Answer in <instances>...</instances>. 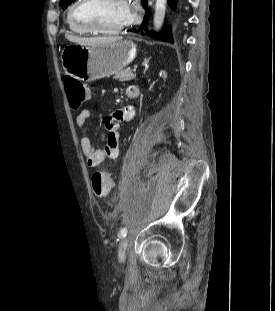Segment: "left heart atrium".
Wrapping results in <instances>:
<instances>
[{"mask_svg":"<svg viewBox=\"0 0 275 311\" xmlns=\"http://www.w3.org/2000/svg\"><path fill=\"white\" fill-rule=\"evenodd\" d=\"M126 2V23L134 22L138 17L139 5L136 1L124 0Z\"/></svg>","mask_w":275,"mask_h":311,"instance_id":"obj_1","label":"left heart atrium"}]
</instances>
